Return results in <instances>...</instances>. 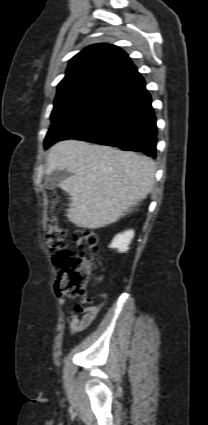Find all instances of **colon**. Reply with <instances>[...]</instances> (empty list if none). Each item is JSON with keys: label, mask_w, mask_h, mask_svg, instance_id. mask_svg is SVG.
Returning <instances> with one entry per match:
<instances>
[{"label": "colon", "mask_w": 208, "mask_h": 425, "mask_svg": "<svg viewBox=\"0 0 208 425\" xmlns=\"http://www.w3.org/2000/svg\"><path fill=\"white\" fill-rule=\"evenodd\" d=\"M78 251L66 249L65 232L55 215L46 220L45 244L53 254L61 294L85 299L90 274L92 253L97 250L99 238L95 231L80 229L74 233Z\"/></svg>", "instance_id": "5ec220e1"}]
</instances>
